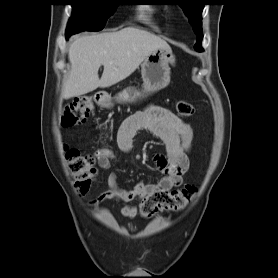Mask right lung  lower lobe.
Wrapping results in <instances>:
<instances>
[{
	"label": "right lung lower lobe",
	"mask_w": 278,
	"mask_h": 278,
	"mask_svg": "<svg viewBox=\"0 0 278 278\" xmlns=\"http://www.w3.org/2000/svg\"><path fill=\"white\" fill-rule=\"evenodd\" d=\"M69 37H70V36H67V35H66V38H69Z\"/></svg>",
	"instance_id": "98d812e1"
}]
</instances>
